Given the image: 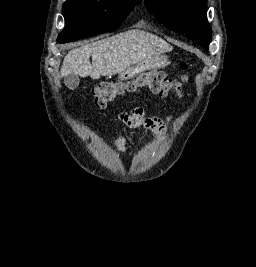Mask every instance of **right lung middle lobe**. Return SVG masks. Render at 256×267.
<instances>
[{
	"instance_id": "right-lung-middle-lobe-1",
	"label": "right lung middle lobe",
	"mask_w": 256,
	"mask_h": 267,
	"mask_svg": "<svg viewBox=\"0 0 256 267\" xmlns=\"http://www.w3.org/2000/svg\"><path fill=\"white\" fill-rule=\"evenodd\" d=\"M140 0H67L63 5L65 28L59 43L116 30Z\"/></svg>"
}]
</instances>
